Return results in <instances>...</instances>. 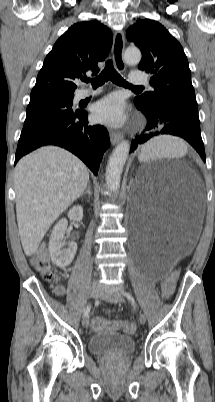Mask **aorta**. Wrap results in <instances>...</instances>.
<instances>
[{"instance_id":"762f6f07","label":"aorta","mask_w":215,"mask_h":402,"mask_svg":"<svg viewBox=\"0 0 215 402\" xmlns=\"http://www.w3.org/2000/svg\"><path fill=\"white\" fill-rule=\"evenodd\" d=\"M141 60V52L136 47H128L124 52V61L136 65ZM130 151V143L126 140L119 143L112 152L106 167V184L109 191L115 194L121 181L123 167Z\"/></svg>"}]
</instances>
